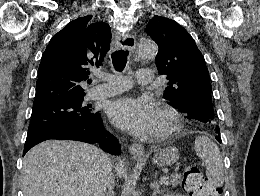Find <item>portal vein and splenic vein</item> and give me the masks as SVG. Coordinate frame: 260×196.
<instances>
[{
	"label": "portal vein and splenic vein",
	"mask_w": 260,
	"mask_h": 196,
	"mask_svg": "<svg viewBox=\"0 0 260 196\" xmlns=\"http://www.w3.org/2000/svg\"><path fill=\"white\" fill-rule=\"evenodd\" d=\"M166 180H168V178H166L165 175H162V176H161V179H160V182H161V183H164V182H166Z\"/></svg>",
	"instance_id": "obj_1"
}]
</instances>
